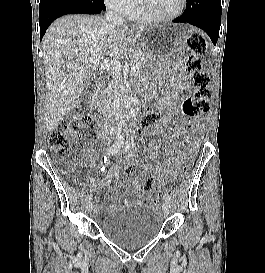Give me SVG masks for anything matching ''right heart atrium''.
I'll use <instances>...</instances> for the list:
<instances>
[{
    "instance_id": "obj_1",
    "label": "right heart atrium",
    "mask_w": 265,
    "mask_h": 273,
    "mask_svg": "<svg viewBox=\"0 0 265 273\" xmlns=\"http://www.w3.org/2000/svg\"><path fill=\"white\" fill-rule=\"evenodd\" d=\"M104 3L120 14H127L136 5L137 0H104Z\"/></svg>"
}]
</instances>
